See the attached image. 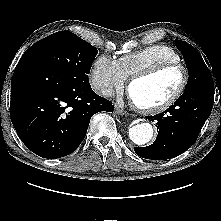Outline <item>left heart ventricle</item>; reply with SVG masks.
Instances as JSON below:
<instances>
[{
	"instance_id": "1",
	"label": "left heart ventricle",
	"mask_w": 221,
	"mask_h": 221,
	"mask_svg": "<svg viewBox=\"0 0 221 221\" xmlns=\"http://www.w3.org/2000/svg\"><path fill=\"white\" fill-rule=\"evenodd\" d=\"M182 72L178 68L163 71L153 77L135 82L130 89L134 101L143 106H154L166 101L179 88Z\"/></svg>"
}]
</instances>
